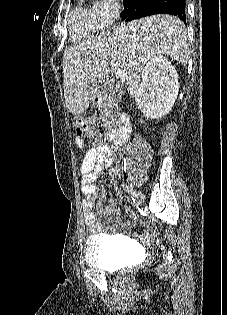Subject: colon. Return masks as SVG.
<instances>
[{
  "label": "colon",
  "instance_id": "5ec220e1",
  "mask_svg": "<svg viewBox=\"0 0 227 315\" xmlns=\"http://www.w3.org/2000/svg\"><path fill=\"white\" fill-rule=\"evenodd\" d=\"M73 125L76 129V133L81 137L88 138L91 144H97L101 140L94 123L87 118L76 116L73 120Z\"/></svg>",
  "mask_w": 227,
  "mask_h": 315
}]
</instances>
